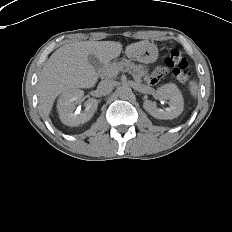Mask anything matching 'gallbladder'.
Listing matches in <instances>:
<instances>
[{
  "label": "gallbladder",
  "instance_id": "bac80fb5",
  "mask_svg": "<svg viewBox=\"0 0 232 232\" xmlns=\"http://www.w3.org/2000/svg\"><path fill=\"white\" fill-rule=\"evenodd\" d=\"M88 60H89L90 64H91L96 70L99 69V67L101 66V63H100L98 57H97L96 55H94V54H90V55L88 56Z\"/></svg>",
  "mask_w": 232,
  "mask_h": 232
}]
</instances>
